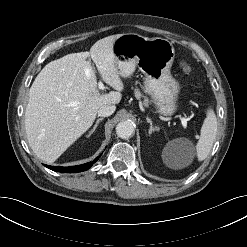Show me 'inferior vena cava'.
<instances>
[{
	"mask_svg": "<svg viewBox=\"0 0 247 247\" xmlns=\"http://www.w3.org/2000/svg\"><path fill=\"white\" fill-rule=\"evenodd\" d=\"M115 109V105H102L97 111L98 116L108 117L114 113Z\"/></svg>",
	"mask_w": 247,
	"mask_h": 247,
	"instance_id": "1",
	"label": "inferior vena cava"
}]
</instances>
